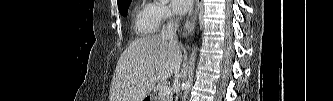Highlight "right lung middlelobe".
<instances>
[{
    "label": "right lung middle lobe",
    "instance_id": "right-lung-middle-lobe-1",
    "mask_svg": "<svg viewBox=\"0 0 333 101\" xmlns=\"http://www.w3.org/2000/svg\"><path fill=\"white\" fill-rule=\"evenodd\" d=\"M131 3V0H125L122 3L118 4L119 12L122 16H127V10L129 8V5Z\"/></svg>",
    "mask_w": 333,
    "mask_h": 101
}]
</instances>
